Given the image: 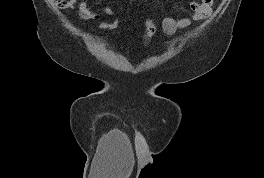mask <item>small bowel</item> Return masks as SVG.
I'll use <instances>...</instances> for the list:
<instances>
[{"instance_id":"c3829d8e","label":"small bowel","mask_w":264,"mask_h":178,"mask_svg":"<svg viewBox=\"0 0 264 178\" xmlns=\"http://www.w3.org/2000/svg\"><path fill=\"white\" fill-rule=\"evenodd\" d=\"M214 0H197L189 4L191 13L184 17H164L161 21V29L166 35H173L179 30L189 27L194 21H200L208 17L212 12ZM103 12L107 15L114 13L109 6L103 7ZM79 19L82 21L99 20L100 15L91 10L88 6L87 0H81L78 11Z\"/></svg>"}]
</instances>
